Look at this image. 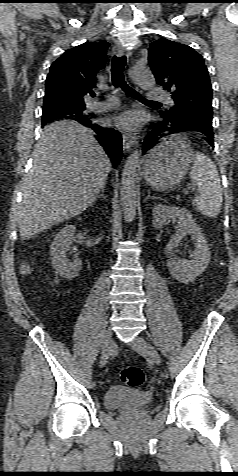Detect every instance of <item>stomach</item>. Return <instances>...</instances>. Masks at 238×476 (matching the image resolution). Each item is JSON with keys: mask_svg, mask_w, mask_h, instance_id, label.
<instances>
[{"mask_svg": "<svg viewBox=\"0 0 238 476\" xmlns=\"http://www.w3.org/2000/svg\"><path fill=\"white\" fill-rule=\"evenodd\" d=\"M189 144L179 136L163 139L146 156L143 166L145 182L160 191L175 188L193 163Z\"/></svg>", "mask_w": 238, "mask_h": 476, "instance_id": "stomach-1", "label": "stomach"}]
</instances>
